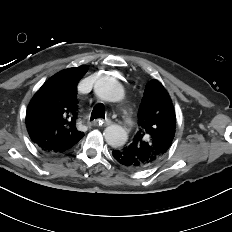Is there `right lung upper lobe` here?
Segmentation results:
<instances>
[{
  "instance_id": "obj_1",
  "label": "right lung upper lobe",
  "mask_w": 232,
  "mask_h": 232,
  "mask_svg": "<svg viewBox=\"0 0 232 232\" xmlns=\"http://www.w3.org/2000/svg\"><path fill=\"white\" fill-rule=\"evenodd\" d=\"M88 66L68 68L49 78L26 111L30 139L46 153H63L84 137L78 131L77 84Z\"/></svg>"
}]
</instances>
